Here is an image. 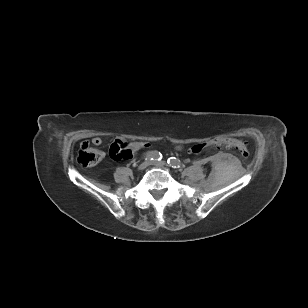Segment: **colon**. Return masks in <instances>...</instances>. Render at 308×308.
<instances>
[{"label":"colon","instance_id":"colon-1","mask_svg":"<svg viewBox=\"0 0 308 308\" xmlns=\"http://www.w3.org/2000/svg\"><path fill=\"white\" fill-rule=\"evenodd\" d=\"M141 147L153 148L154 142L147 140L131 139L130 143L116 139L110 147V155L115 160H127L133 156L134 151H140ZM226 147L239 152L243 157H248L249 152L243 142L235 138H214L204 143L196 144L191 147L192 153H200L206 148ZM103 158V153L92 148L87 141L80 146L77 161L83 167H91L98 164Z\"/></svg>","mask_w":308,"mask_h":308}]
</instances>
